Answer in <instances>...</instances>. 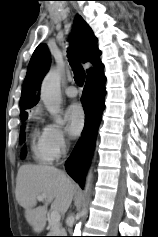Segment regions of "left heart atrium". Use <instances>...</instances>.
<instances>
[{"mask_svg": "<svg viewBox=\"0 0 158 237\" xmlns=\"http://www.w3.org/2000/svg\"><path fill=\"white\" fill-rule=\"evenodd\" d=\"M68 131L72 136L81 133L85 125V113L81 105L74 103L70 105L65 113Z\"/></svg>", "mask_w": 158, "mask_h": 237, "instance_id": "obj_1", "label": "left heart atrium"}]
</instances>
